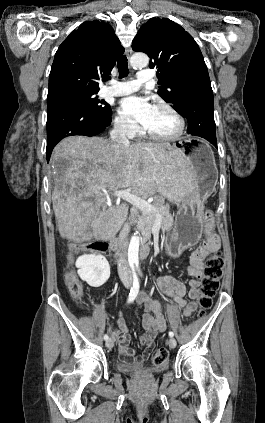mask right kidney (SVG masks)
Here are the masks:
<instances>
[{
	"label": "right kidney",
	"mask_w": 265,
	"mask_h": 423,
	"mask_svg": "<svg viewBox=\"0 0 265 423\" xmlns=\"http://www.w3.org/2000/svg\"><path fill=\"white\" fill-rule=\"evenodd\" d=\"M79 277L91 287L102 286L110 277V266L103 255L84 254L76 260Z\"/></svg>",
	"instance_id": "ca27d5eb"
}]
</instances>
